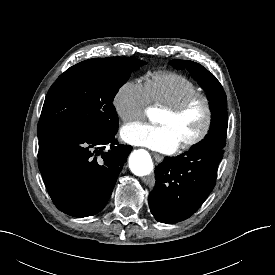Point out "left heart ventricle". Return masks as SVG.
Segmentation results:
<instances>
[{
    "label": "left heart ventricle",
    "mask_w": 275,
    "mask_h": 275,
    "mask_svg": "<svg viewBox=\"0 0 275 275\" xmlns=\"http://www.w3.org/2000/svg\"><path fill=\"white\" fill-rule=\"evenodd\" d=\"M204 120V104L201 100H197L179 115H172L162 110L156 121L158 124L168 126L180 144L195 136L202 128Z\"/></svg>",
    "instance_id": "b2bd125f"
}]
</instances>
